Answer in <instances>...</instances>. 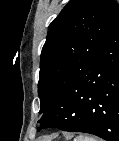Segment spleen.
I'll return each instance as SVG.
<instances>
[{"instance_id":"obj_1","label":"spleen","mask_w":119,"mask_h":141,"mask_svg":"<svg viewBox=\"0 0 119 141\" xmlns=\"http://www.w3.org/2000/svg\"><path fill=\"white\" fill-rule=\"evenodd\" d=\"M74 141H97V139L93 138V137H89V136H85V137H77L76 139H74Z\"/></svg>"}]
</instances>
